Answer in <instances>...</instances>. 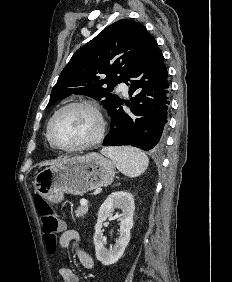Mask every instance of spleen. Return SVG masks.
<instances>
[{"label":"spleen","mask_w":232,"mask_h":282,"mask_svg":"<svg viewBox=\"0 0 232 282\" xmlns=\"http://www.w3.org/2000/svg\"><path fill=\"white\" fill-rule=\"evenodd\" d=\"M102 154L111 158L115 166L123 174L136 177L148 167L149 159L141 150L133 147H108Z\"/></svg>","instance_id":"1"}]
</instances>
